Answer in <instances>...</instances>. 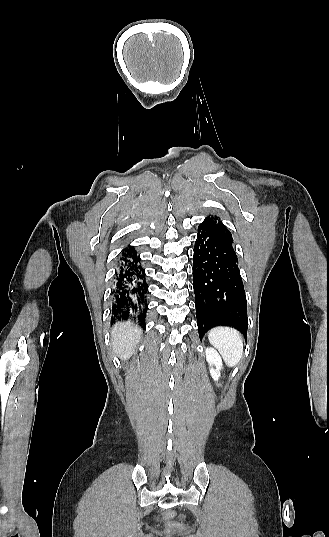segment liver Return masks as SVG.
Segmentation results:
<instances>
[{
	"label": "liver",
	"instance_id": "obj_1",
	"mask_svg": "<svg viewBox=\"0 0 329 537\" xmlns=\"http://www.w3.org/2000/svg\"><path fill=\"white\" fill-rule=\"evenodd\" d=\"M142 331L130 322L116 323L112 328L111 343L115 354L128 359L139 343Z\"/></svg>",
	"mask_w": 329,
	"mask_h": 537
}]
</instances>
